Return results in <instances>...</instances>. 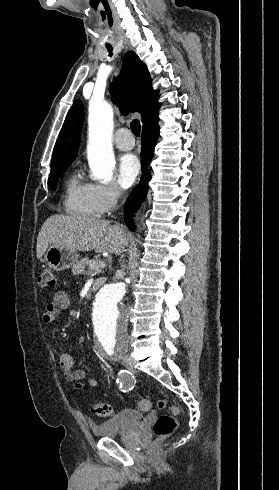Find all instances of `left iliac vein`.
I'll return each instance as SVG.
<instances>
[{
    "mask_svg": "<svg viewBox=\"0 0 279 490\" xmlns=\"http://www.w3.org/2000/svg\"><path fill=\"white\" fill-rule=\"evenodd\" d=\"M121 358H122V357H121V355H119V354H118V355H116V357H115V359H116V360H118V361H119V360H121Z\"/></svg>",
    "mask_w": 279,
    "mask_h": 490,
    "instance_id": "obj_1",
    "label": "left iliac vein"
}]
</instances>
